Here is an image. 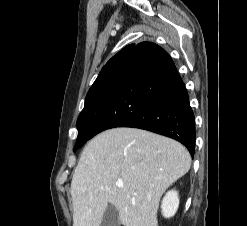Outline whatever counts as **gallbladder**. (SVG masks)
Returning a JSON list of instances; mask_svg holds the SVG:
<instances>
[{
    "instance_id": "gallbladder-1",
    "label": "gallbladder",
    "mask_w": 247,
    "mask_h": 226,
    "mask_svg": "<svg viewBox=\"0 0 247 226\" xmlns=\"http://www.w3.org/2000/svg\"><path fill=\"white\" fill-rule=\"evenodd\" d=\"M100 226H120L119 213L113 205L107 207Z\"/></svg>"
}]
</instances>
